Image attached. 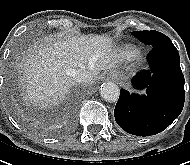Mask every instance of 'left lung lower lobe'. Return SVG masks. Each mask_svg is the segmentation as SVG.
Wrapping results in <instances>:
<instances>
[{"label":"left lung lower lobe","mask_w":190,"mask_h":165,"mask_svg":"<svg viewBox=\"0 0 190 165\" xmlns=\"http://www.w3.org/2000/svg\"><path fill=\"white\" fill-rule=\"evenodd\" d=\"M150 70L137 73L132 84L146 89V95L121 89L114 110L117 124L137 136H150L165 130L184 106V76L178 50L171 40L152 47L147 56Z\"/></svg>","instance_id":"obj_1"}]
</instances>
